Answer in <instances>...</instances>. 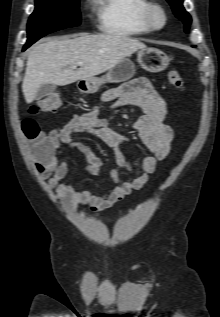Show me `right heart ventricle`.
Wrapping results in <instances>:
<instances>
[{
	"mask_svg": "<svg viewBox=\"0 0 220 317\" xmlns=\"http://www.w3.org/2000/svg\"><path fill=\"white\" fill-rule=\"evenodd\" d=\"M149 0H96L95 13L102 32L121 37L148 34L144 19Z\"/></svg>",
	"mask_w": 220,
	"mask_h": 317,
	"instance_id": "obj_1",
	"label": "right heart ventricle"
}]
</instances>
